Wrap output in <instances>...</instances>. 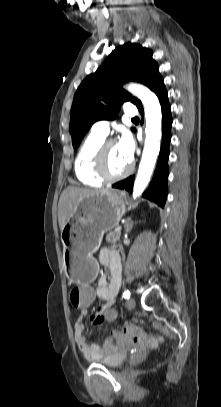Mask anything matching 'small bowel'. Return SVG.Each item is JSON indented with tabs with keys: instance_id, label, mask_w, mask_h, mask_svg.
<instances>
[{
	"instance_id": "1",
	"label": "small bowel",
	"mask_w": 221,
	"mask_h": 407,
	"mask_svg": "<svg viewBox=\"0 0 221 407\" xmlns=\"http://www.w3.org/2000/svg\"><path fill=\"white\" fill-rule=\"evenodd\" d=\"M99 262L109 269V278L101 274L98 278L97 285L95 286V298H101L104 303L100 305H93L91 311L93 315L90 320L93 325H101L103 321L104 308L106 305H113L116 295L118 293L121 283L122 265L120 256L114 250L103 248L99 252ZM72 293V292H71ZM72 299V298H71ZM95 300V299H94ZM93 300V301H94ZM117 314V312H116ZM87 315V311H81L74 325V340L79 353L86 359H98L105 355H108L117 347L111 339L107 340L102 347L96 343H89L84 336L85 329L84 318ZM113 322V321H112ZM125 326L124 324L121 327ZM121 329V328H120ZM113 337L116 339H122L125 336L119 331L112 332Z\"/></svg>"
}]
</instances>
